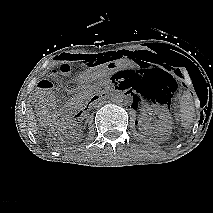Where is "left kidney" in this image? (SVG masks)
<instances>
[{"label": "left kidney", "instance_id": "obj_1", "mask_svg": "<svg viewBox=\"0 0 213 213\" xmlns=\"http://www.w3.org/2000/svg\"><path fill=\"white\" fill-rule=\"evenodd\" d=\"M150 112L158 116V121L155 124H152L145 117H141L139 119V123L142 131L145 134L161 138H166L169 136L172 129V120L167 108L157 107Z\"/></svg>", "mask_w": 213, "mask_h": 213}]
</instances>
